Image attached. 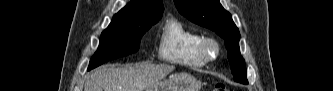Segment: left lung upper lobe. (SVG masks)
<instances>
[{
  "mask_svg": "<svg viewBox=\"0 0 333 91\" xmlns=\"http://www.w3.org/2000/svg\"><path fill=\"white\" fill-rule=\"evenodd\" d=\"M178 11L192 22L209 28L225 40L235 81L247 84L245 61L240 54V33L219 0H174Z\"/></svg>",
  "mask_w": 333,
  "mask_h": 91,
  "instance_id": "1",
  "label": "left lung upper lobe"
}]
</instances>
